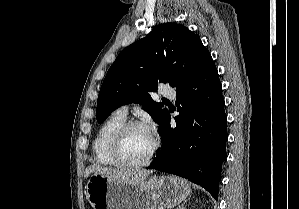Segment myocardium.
<instances>
[{
	"label": "myocardium",
	"mask_w": 299,
	"mask_h": 209,
	"mask_svg": "<svg viewBox=\"0 0 299 209\" xmlns=\"http://www.w3.org/2000/svg\"><path fill=\"white\" fill-rule=\"evenodd\" d=\"M133 128H142L147 130L150 133L152 138V148L144 160L136 163H129L122 158L121 147H122V141L124 136L128 131H130ZM159 147H160L159 139L148 124L142 121L131 120L123 123L115 132L111 142L110 153L114 161V164L116 166L121 168H126V169H138V168H143L152 162V160L154 159V157L158 152Z\"/></svg>",
	"instance_id": "f54148a6"
}]
</instances>
